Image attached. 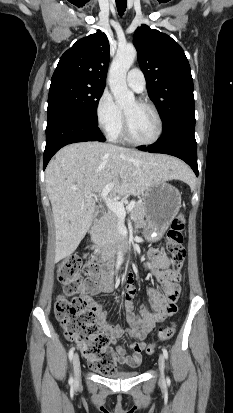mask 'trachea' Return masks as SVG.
Wrapping results in <instances>:
<instances>
[{
	"mask_svg": "<svg viewBox=\"0 0 233 413\" xmlns=\"http://www.w3.org/2000/svg\"><path fill=\"white\" fill-rule=\"evenodd\" d=\"M116 6L119 12V15L122 16L126 10L127 0H116Z\"/></svg>",
	"mask_w": 233,
	"mask_h": 413,
	"instance_id": "trachea-1",
	"label": "trachea"
}]
</instances>
